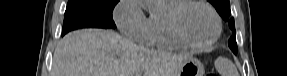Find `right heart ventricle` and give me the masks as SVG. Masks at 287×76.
<instances>
[{
	"label": "right heart ventricle",
	"instance_id": "1",
	"mask_svg": "<svg viewBox=\"0 0 287 76\" xmlns=\"http://www.w3.org/2000/svg\"><path fill=\"white\" fill-rule=\"evenodd\" d=\"M179 2L180 0H164L162 7L149 15L147 19V32L143 43L163 50L182 48L173 37L168 24L169 12Z\"/></svg>",
	"mask_w": 287,
	"mask_h": 76
}]
</instances>
